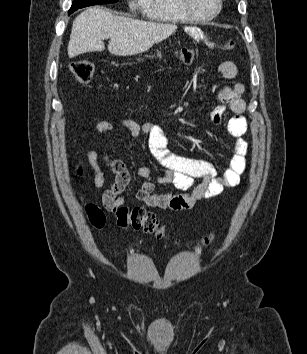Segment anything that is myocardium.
<instances>
[{
  "mask_svg": "<svg viewBox=\"0 0 307 354\" xmlns=\"http://www.w3.org/2000/svg\"><path fill=\"white\" fill-rule=\"evenodd\" d=\"M223 0H217V8L216 10L209 16H198L196 15L190 6V0H179V6L182 12L193 21L197 22H209L218 16L222 9Z\"/></svg>",
  "mask_w": 307,
  "mask_h": 354,
  "instance_id": "myocardium-1",
  "label": "myocardium"
}]
</instances>
